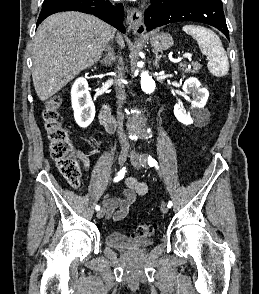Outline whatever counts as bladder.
I'll use <instances>...</instances> for the list:
<instances>
[{
    "mask_svg": "<svg viewBox=\"0 0 259 294\" xmlns=\"http://www.w3.org/2000/svg\"><path fill=\"white\" fill-rule=\"evenodd\" d=\"M105 241L107 245L126 252L143 251L152 245V241L149 239L131 237L121 232L108 233Z\"/></svg>",
    "mask_w": 259,
    "mask_h": 294,
    "instance_id": "bladder-1",
    "label": "bladder"
}]
</instances>
